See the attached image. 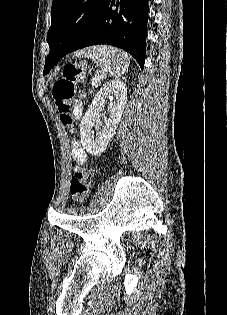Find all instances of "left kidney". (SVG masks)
Returning a JSON list of instances; mask_svg holds the SVG:
<instances>
[{"mask_svg": "<svg viewBox=\"0 0 227 315\" xmlns=\"http://www.w3.org/2000/svg\"><path fill=\"white\" fill-rule=\"evenodd\" d=\"M108 100L109 115L104 117L102 131L94 137L92 127ZM126 103L127 87L124 82L110 81L98 91L80 124L81 144L89 154L98 156L105 151L121 120Z\"/></svg>", "mask_w": 227, "mask_h": 315, "instance_id": "obj_1", "label": "left kidney"}]
</instances>
